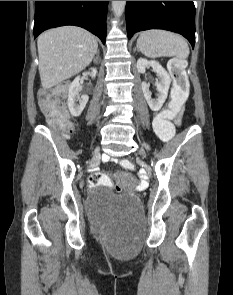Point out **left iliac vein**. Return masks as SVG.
I'll return each instance as SVG.
<instances>
[{"label":"left iliac vein","mask_w":233,"mask_h":295,"mask_svg":"<svg viewBox=\"0 0 233 295\" xmlns=\"http://www.w3.org/2000/svg\"><path fill=\"white\" fill-rule=\"evenodd\" d=\"M144 145L146 146V144H144ZM139 154L142 155L143 157L146 156L145 151H144L143 149H141V150L139 151Z\"/></svg>","instance_id":"4c4485c4"}]
</instances>
